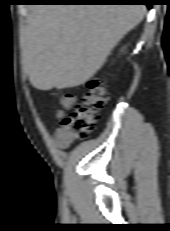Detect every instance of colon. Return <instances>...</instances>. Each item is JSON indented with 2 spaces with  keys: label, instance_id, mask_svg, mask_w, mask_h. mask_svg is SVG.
<instances>
[{
  "label": "colon",
  "instance_id": "5ec220e1",
  "mask_svg": "<svg viewBox=\"0 0 170 231\" xmlns=\"http://www.w3.org/2000/svg\"><path fill=\"white\" fill-rule=\"evenodd\" d=\"M108 99L109 93L104 82L100 78H92L87 84L86 93L69 117H65L62 111L57 112L65 139L72 142L86 138L95 128L99 112L106 105ZM60 104L64 108L72 107L73 95L68 92L61 95Z\"/></svg>",
  "mask_w": 170,
  "mask_h": 231
}]
</instances>
